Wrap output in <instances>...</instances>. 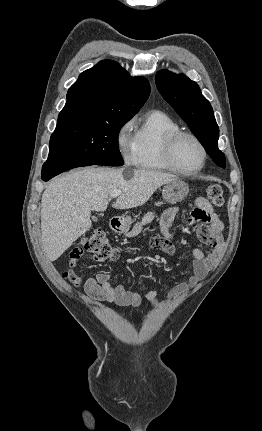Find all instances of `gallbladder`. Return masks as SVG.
Wrapping results in <instances>:
<instances>
[{
    "label": "gallbladder",
    "mask_w": 262,
    "mask_h": 431,
    "mask_svg": "<svg viewBox=\"0 0 262 431\" xmlns=\"http://www.w3.org/2000/svg\"><path fill=\"white\" fill-rule=\"evenodd\" d=\"M93 220H97V217H95V216H94V217H93Z\"/></svg>",
    "instance_id": "1"
}]
</instances>
